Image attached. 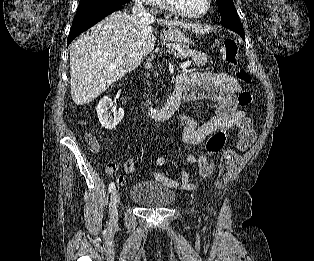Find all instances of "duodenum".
Wrapping results in <instances>:
<instances>
[{
    "instance_id": "obj_1",
    "label": "duodenum",
    "mask_w": 314,
    "mask_h": 261,
    "mask_svg": "<svg viewBox=\"0 0 314 261\" xmlns=\"http://www.w3.org/2000/svg\"><path fill=\"white\" fill-rule=\"evenodd\" d=\"M191 93L185 88L181 76L176 79V87L174 93L168 99L163 107H153L151 115L157 121H166L171 119L180 108L184 100L190 99Z\"/></svg>"
}]
</instances>
